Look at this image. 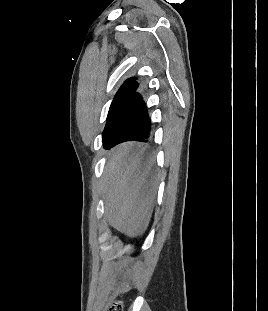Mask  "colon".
Segmentation results:
<instances>
[{
	"mask_svg": "<svg viewBox=\"0 0 268 311\" xmlns=\"http://www.w3.org/2000/svg\"><path fill=\"white\" fill-rule=\"evenodd\" d=\"M106 311H122V303L118 299H114L110 302Z\"/></svg>",
	"mask_w": 268,
	"mask_h": 311,
	"instance_id": "5ec220e1",
	"label": "colon"
}]
</instances>
